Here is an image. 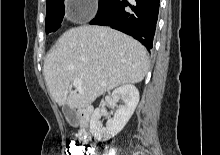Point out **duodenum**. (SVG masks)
I'll use <instances>...</instances> for the list:
<instances>
[{
    "label": "duodenum",
    "instance_id": "obj_1",
    "mask_svg": "<svg viewBox=\"0 0 220 155\" xmlns=\"http://www.w3.org/2000/svg\"><path fill=\"white\" fill-rule=\"evenodd\" d=\"M92 112H93V108L89 106H83L77 109L78 117L85 122H87L90 119ZM90 139H91V134L89 129L83 128L80 132V140L84 143H87L90 141Z\"/></svg>",
    "mask_w": 220,
    "mask_h": 155
}]
</instances>
